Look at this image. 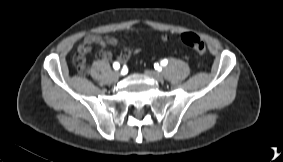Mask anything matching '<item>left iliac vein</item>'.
<instances>
[{"label":"left iliac vein","instance_id":"obj_1","mask_svg":"<svg viewBox=\"0 0 283 162\" xmlns=\"http://www.w3.org/2000/svg\"><path fill=\"white\" fill-rule=\"evenodd\" d=\"M145 74L147 76H149L150 78H152L153 80L155 81H158V82H162L163 81V76L162 74H160L159 72L157 71H154V70H145Z\"/></svg>","mask_w":283,"mask_h":162}]
</instances>
